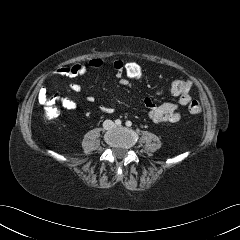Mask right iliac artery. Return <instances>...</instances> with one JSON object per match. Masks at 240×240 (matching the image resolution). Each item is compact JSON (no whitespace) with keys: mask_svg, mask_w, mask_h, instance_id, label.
<instances>
[{"mask_svg":"<svg viewBox=\"0 0 240 240\" xmlns=\"http://www.w3.org/2000/svg\"><path fill=\"white\" fill-rule=\"evenodd\" d=\"M121 123H122V122H121V120H120V119H117V120H115V124H116V125L120 126V125H121Z\"/></svg>","mask_w":240,"mask_h":240,"instance_id":"1","label":"right iliac artery"}]
</instances>
